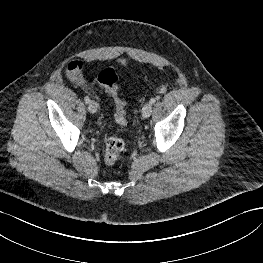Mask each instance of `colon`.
Returning a JSON list of instances; mask_svg holds the SVG:
<instances>
[{
  "mask_svg": "<svg viewBox=\"0 0 263 263\" xmlns=\"http://www.w3.org/2000/svg\"><path fill=\"white\" fill-rule=\"evenodd\" d=\"M97 80L105 91L112 96L115 105V121L120 127L127 125L125 101L119 95L118 76L114 69L107 67L101 70ZM125 142L122 138L113 136L105 143L104 160L108 165H114L122 156Z\"/></svg>",
  "mask_w": 263,
  "mask_h": 263,
  "instance_id": "colon-1",
  "label": "colon"
}]
</instances>
